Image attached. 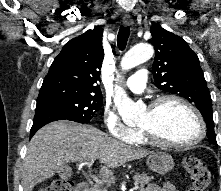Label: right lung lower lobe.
Segmentation results:
<instances>
[{
    "label": "right lung lower lobe",
    "instance_id": "1",
    "mask_svg": "<svg viewBox=\"0 0 221 191\" xmlns=\"http://www.w3.org/2000/svg\"><path fill=\"white\" fill-rule=\"evenodd\" d=\"M57 120H67L64 116L49 108L45 105H37L35 110V117L33 120V125L30 131V138L44 125L57 121Z\"/></svg>",
    "mask_w": 221,
    "mask_h": 191
}]
</instances>
